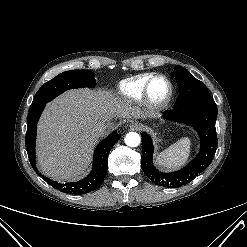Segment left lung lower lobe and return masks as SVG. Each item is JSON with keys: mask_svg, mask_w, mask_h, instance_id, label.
<instances>
[{"mask_svg": "<svg viewBox=\"0 0 247 247\" xmlns=\"http://www.w3.org/2000/svg\"><path fill=\"white\" fill-rule=\"evenodd\" d=\"M217 106L214 100H203L168 110L164 117L171 121L183 122L194 127L199 133L201 149L198 155L184 168L172 173H161L152 164L153 145L147 133H142L143 172L156 185L176 188L189 183L203 172L214 158L218 144L215 123Z\"/></svg>", "mask_w": 247, "mask_h": 247, "instance_id": "obj_1", "label": "left lung lower lobe"}]
</instances>
